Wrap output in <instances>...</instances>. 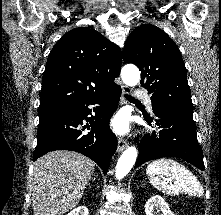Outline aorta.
<instances>
[{"label":"aorta","instance_id":"1","mask_svg":"<svg viewBox=\"0 0 221 215\" xmlns=\"http://www.w3.org/2000/svg\"><path fill=\"white\" fill-rule=\"evenodd\" d=\"M121 77L127 86L133 87L140 81V71L135 65L128 64L122 68ZM137 154L135 146L128 147L122 153L116 165V179L121 180L129 173L136 162Z\"/></svg>","mask_w":221,"mask_h":215}]
</instances>
